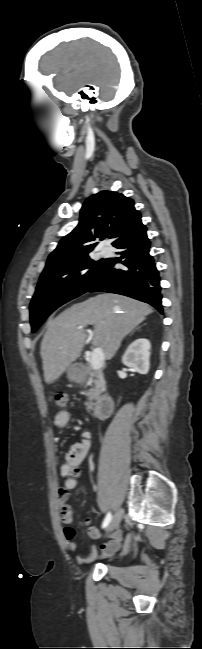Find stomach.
Here are the masks:
<instances>
[{"label": "stomach", "instance_id": "1", "mask_svg": "<svg viewBox=\"0 0 202 649\" xmlns=\"http://www.w3.org/2000/svg\"><path fill=\"white\" fill-rule=\"evenodd\" d=\"M67 376L71 382H79L81 377V370L76 365H71L67 369Z\"/></svg>", "mask_w": 202, "mask_h": 649}]
</instances>
